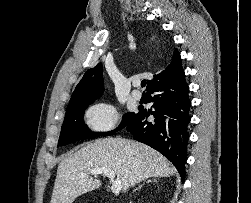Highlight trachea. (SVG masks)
Returning <instances> with one entry per match:
<instances>
[{
  "label": "trachea",
  "instance_id": "trachea-1",
  "mask_svg": "<svg viewBox=\"0 0 251 203\" xmlns=\"http://www.w3.org/2000/svg\"><path fill=\"white\" fill-rule=\"evenodd\" d=\"M145 85H146V80H143V81L141 82V87H145Z\"/></svg>",
  "mask_w": 251,
  "mask_h": 203
}]
</instances>
